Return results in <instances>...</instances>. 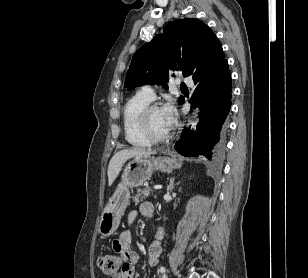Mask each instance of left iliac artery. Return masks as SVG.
<instances>
[{
    "label": "left iliac artery",
    "mask_w": 308,
    "mask_h": 278,
    "mask_svg": "<svg viewBox=\"0 0 308 278\" xmlns=\"http://www.w3.org/2000/svg\"><path fill=\"white\" fill-rule=\"evenodd\" d=\"M160 272L163 273V278H167L165 272H166V268L165 267H161L160 268Z\"/></svg>",
    "instance_id": "left-iliac-artery-1"
}]
</instances>
